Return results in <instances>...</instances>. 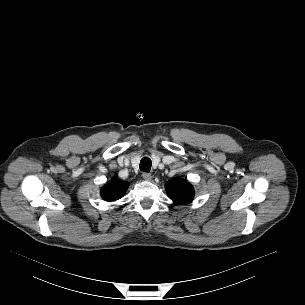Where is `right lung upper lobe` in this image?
I'll return each instance as SVG.
<instances>
[{
    "instance_id": "cb5924a9",
    "label": "right lung upper lobe",
    "mask_w": 305,
    "mask_h": 305,
    "mask_svg": "<svg viewBox=\"0 0 305 305\" xmlns=\"http://www.w3.org/2000/svg\"><path fill=\"white\" fill-rule=\"evenodd\" d=\"M128 187V182L114 177L101 189V196L106 201H116L124 196Z\"/></svg>"
}]
</instances>
